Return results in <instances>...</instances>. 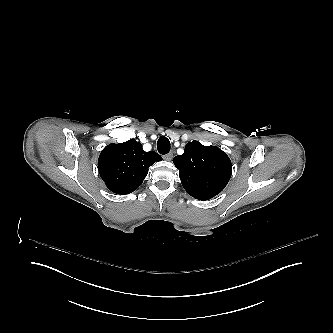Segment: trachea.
<instances>
[{
    "instance_id": "obj_1",
    "label": "trachea",
    "mask_w": 333,
    "mask_h": 333,
    "mask_svg": "<svg viewBox=\"0 0 333 333\" xmlns=\"http://www.w3.org/2000/svg\"><path fill=\"white\" fill-rule=\"evenodd\" d=\"M170 142L165 136H161L157 142V149L160 154H167L170 151Z\"/></svg>"
}]
</instances>
